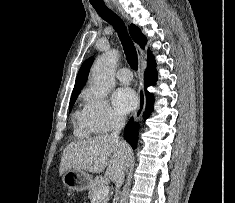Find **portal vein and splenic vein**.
I'll list each match as a JSON object with an SVG mask.
<instances>
[{
	"label": "portal vein and splenic vein",
	"instance_id": "portal-vein-and-splenic-vein-1",
	"mask_svg": "<svg viewBox=\"0 0 235 203\" xmlns=\"http://www.w3.org/2000/svg\"><path fill=\"white\" fill-rule=\"evenodd\" d=\"M108 194H109V186H105L96 192L94 200H101L102 198L108 196Z\"/></svg>",
	"mask_w": 235,
	"mask_h": 203
}]
</instances>
